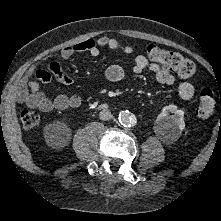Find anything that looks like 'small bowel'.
<instances>
[{
    "mask_svg": "<svg viewBox=\"0 0 221 221\" xmlns=\"http://www.w3.org/2000/svg\"><path fill=\"white\" fill-rule=\"evenodd\" d=\"M105 47L121 50L126 54H132L134 51L132 46L123 44L117 38L103 35L98 38H87L74 45L66 46L57 53V57L66 60L82 52L97 57L100 54V49ZM145 70H149L155 79L163 85L172 86L176 83V77L171 72L155 62H149L144 55H137L132 71L135 74H140ZM32 75L34 78H31ZM52 76L65 84L72 83V79L63 71L61 65L57 61L51 60L47 64V69H32L23 75L16 91L17 100L42 112L79 107L81 98L77 95L60 94L55 98H49L40 90V83H50ZM105 76L110 82H121L125 77V70L119 64H112L106 68ZM178 93L183 100H190L194 96L195 88L192 83L182 81L178 84Z\"/></svg>",
    "mask_w": 221,
    "mask_h": 221,
    "instance_id": "obj_1",
    "label": "small bowel"
}]
</instances>
